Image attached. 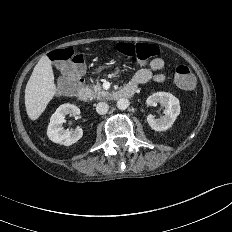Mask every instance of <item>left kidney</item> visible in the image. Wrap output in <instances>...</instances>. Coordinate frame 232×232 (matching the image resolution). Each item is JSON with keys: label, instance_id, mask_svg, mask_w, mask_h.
<instances>
[{"label": "left kidney", "instance_id": "left-kidney-1", "mask_svg": "<svg viewBox=\"0 0 232 232\" xmlns=\"http://www.w3.org/2000/svg\"><path fill=\"white\" fill-rule=\"evenodd\" d=\"M146 103L148 105H153L155 103H161L165 107V115L159 119H155L153 115L147 116V121L150 127L155 131H164L169 129L177 116L180 114V102L171 93L167 92H157L150 95L147 98Z\"/></svg>", "mask_w": 232, "mask_h": 232}]
</instances>
